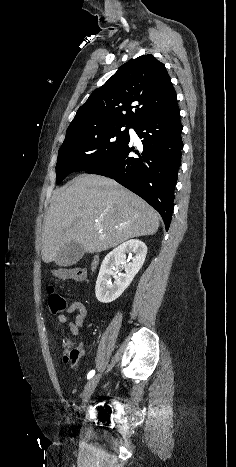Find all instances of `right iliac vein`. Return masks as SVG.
Returning <instances> with one entry per match:
<instances>
[{
  "mask_svg": "<svg viewBox=\"0 0 236 467\" xmlns=\"http://www.w3.org/2000/svg\"><path fill=\"white\" fill-rule=\"evenodd\" d=\"M99 379H100V375H96L94 377H92L88 383L86 384L83 392H82V395H81V399H82V407L83 405L89 400L90 396L92 395L93 391L95 390L98 382H99Z\"/></svg>",
  "mask_w": 236,
  "mask_h": 467,
  "instance_id": "obj_1",
  "label": "right iliac vein"
}]
</instances>
